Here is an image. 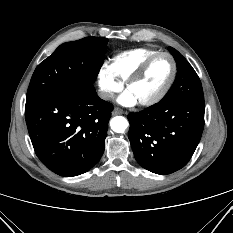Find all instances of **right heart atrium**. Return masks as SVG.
<instances>
[{
    "instance_id": "1",
    "label": "right heart atrium",
    "mask_w": 233,
    "mask_h": 233,
    "mask_svg": "<svg viewBox=\"0 0 233 233\" xmlns=\"http://www.w3.org/2000/svg\"><path fill=\"white\" fill-rule=\"evenodd\" d=\"M97 84L100 96L104 100H111L123 89V83L113 74L107 64H103L99 69Z\"/></svg>"
}]
</instances>
